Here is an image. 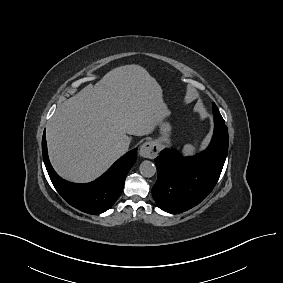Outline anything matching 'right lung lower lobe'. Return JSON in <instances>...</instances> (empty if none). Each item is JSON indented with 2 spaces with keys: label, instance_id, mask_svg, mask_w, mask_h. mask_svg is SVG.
Instances as JSON below:
<instances>
[{
  "label": "right lung lower lobe",
  "instance_id": "98d812e1",
  "mask_svg": "<svg viewBox=\"0 0 283 283\" xmlns=\"http://www.w3.org/2000/svg\"><path fill=\"white\" fill-rule=\"evenodd\" d=\"M42 153L47 172L58 193L76 209L93 215L105 212L116 202L122 193L127 173L137 158V149H133L117 160L100 178L91 183L75 184L59 177L52 168L47 154L45 131Z\"/></svg>",
  "mask_w": 283,
  "mask_h": 283
}]
</instances>
